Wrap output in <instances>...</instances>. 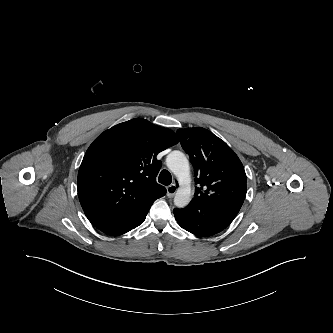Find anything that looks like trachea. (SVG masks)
<instances>
[{
    "label": "trachea",
    "mask_w": 333,
    "mask_h": 333,
    "mask_svg": "<svg viewBox=\"0 0 333 333\" xmlns=\"http://www.w3.org/2000/svg\"><path fill=\"white\" fill-rule=\"evenodd\" d=\"M158 181L165 186L170 185L172 182V176L170 172L167 170H162L159 174Z\"/></svg>",
    "instance_id": "trachea-1"
}]
</instances>
